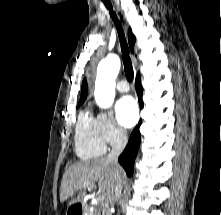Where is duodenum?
<instances>
[{"mask_svg":"<svg viewBox=\"0 0 221 215\" xmlns=\"http://www.w3.org/2000/svg\"><path fill=\"white\" fill-rule=\"evenodd\" d=\"M84 206L81 204H76L72 209V215H83Z\"/></svg>","mask_w":221,"mask_h":215,"instance_id":"410a0bca","label":"duodenum"}]
</instances>
